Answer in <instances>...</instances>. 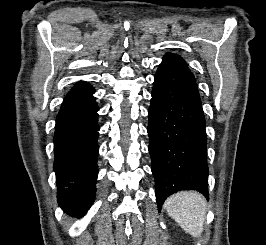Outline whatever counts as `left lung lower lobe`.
<instances>
[{
  "mask_svg": "<svg viewBox=\"0 0 266 245\" xmlns=\"http://www.w3.org/2000/svg\"><path fill=\"white\" fill-rule=\"evenodd\" d=\"M148 111L149 153L159 211L182 190L208 193L207 137L196 79L184 61L164 57Z\"/></svg>",
  "mask_w": 266,
  "mask_h": 245,
  "instance_id": "0a47b994",
  "label": "left lung lower lobe"
}]
</instances>
